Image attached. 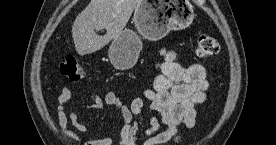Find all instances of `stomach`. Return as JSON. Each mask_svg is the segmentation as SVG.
<instances>
[{
	"label": "stomach",
	"mask_w": 276,
	"mask_h": 145,
	"mask_svg": "<svg viewBox=\"0 0 276 145\" xmlns=\"http://www.w3.org/2000/svg\"><path fill=\"white\" fill-rule=\"evenodd\" d=\"M194 17L188 0H140L133 16L136 31L122 30L109 47L112 65L118 70L131 69L142 49L141 37L160 40L172 30L188 27Z\"/></svg>",
	"instance_id": "0dacf381"
}]
</instances>
